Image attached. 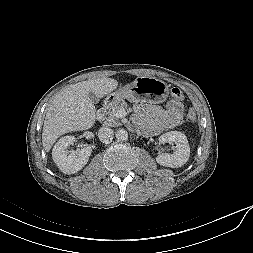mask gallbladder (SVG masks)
I'll return each instance as SVG.
<instances>
[{"instance_id": "gallbladder-1", "label": "gallbladder", "mask_w": 253, "mask_h": 253, "mask_svg": "<svg viewBox=\"0 0 253 253\" xmlns=\"http://www.w3.org/2000/svg\"><path fill=\"white\" fill-rule=\"evenodd\" d=\"M89 99L93 102L96 103L98 102V96L96 94H94L93 92H90L88 94Z\"/></svg>"}]
</instances>
